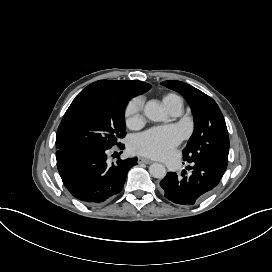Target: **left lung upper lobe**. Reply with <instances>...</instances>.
Here are the masks:
<instances>
[{"mask_svg": "<svg viewBox=\"0 0 272 272\" xmlns=\"http://www.w3.org/2000/svg\"><path fill=\"white\" fill-rule=\"evenodd\" d=\"M161 84L183 95L195 116L194 132L183 150L184 161H202L226 169L229 136L224 117L216 102L184 82L167 80Z\"/></svg>", "mask_w": 272, "mask_h": 272, "instance_id": "5c2ea615", "label": "left lung upper lobe"}]
</instances>
